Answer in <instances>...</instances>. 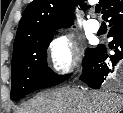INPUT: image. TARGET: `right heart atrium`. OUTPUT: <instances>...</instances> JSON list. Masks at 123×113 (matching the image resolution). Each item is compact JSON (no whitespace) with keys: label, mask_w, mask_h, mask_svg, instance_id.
<instances>
[{"label":"right heart atrium","mask_w":123,"mask_h":113,"mask_svg":"<svg viewBox=\"0 0 123 113\" xmlns=\"http://www.w3.org/2000/svg\"><path fill=\"white\" fill-rule=\"evenodd\" d=\"M48 57L54 74L60 79L66 78L80 61L79 44L71 33L59 34L49 42Z\"/></svg>","instance_id":"1"}]
</instances>
